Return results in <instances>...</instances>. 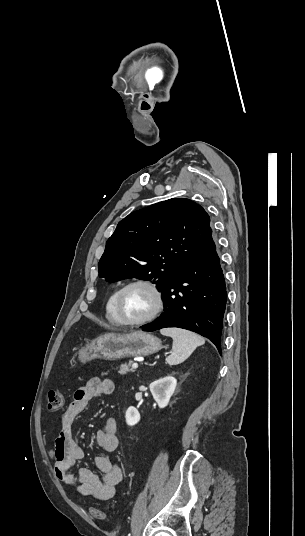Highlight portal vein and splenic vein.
<instances>
[{"label": "portal vein and splenic vein", "instance_id": "18ae733b", "mask_svg": "<svg viewBox=\"0 0 305 536\" xmlns=\"http://www.w3.org/2000/svg\"><path fill=\"white\" fill-rule=\"evenodd\" d=\"M138 368V364H132V370H136Z\"/></svg>", "mask_w": 305, "mask_h": 536}]
</instances>
